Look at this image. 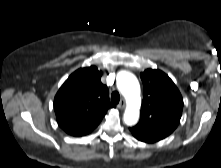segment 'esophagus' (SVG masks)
<instances>
[{"label":"esophagus","mask_w":221,"mask_h":168,"mask_svg":"<svg viewBox=\"0 0 221 168\" xmlns=\"http://www.w3.org/2000/svg\"><path fill=\"white\" fill-rule=\"evenodd\" d=\"M118 108L119 109H124L125 108V100L124 99H121V101L118 104Z\"/></svg>","instance_id":"obj_1"}]
</instances>
